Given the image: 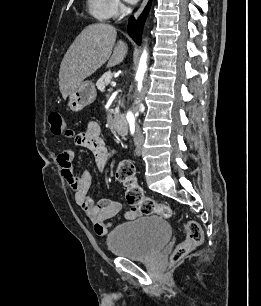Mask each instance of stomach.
<instances>
[{
	"label": "stomach",
	"instance_id": "obj_1",
	"mask_svg": "<svg viewBox=\"0 0 261 306\" xmlns=\"http://www.w3.org/2000/svg\"><path fill=\"white\" fill-rule=\"evenodd\" d=\"M96 95L95 85L91 81H84L69 94L68 106L74 112L81 111L95 101Z\"/></svg>",
	"mask_w": 261,
	"mask_h": 306
}]
</instances>
